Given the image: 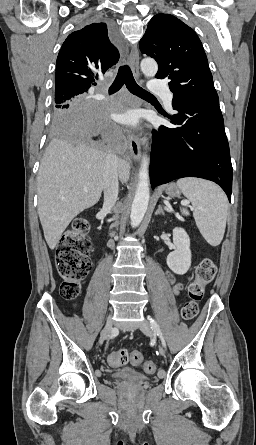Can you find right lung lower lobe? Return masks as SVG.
Returning <instances> with one entry per match:
<instances>
[{
  "label": "right lung lower lobe",
  "mask_w": 256,
  "mask_h": 445,
  "mask_svg": "<svg viewBox=\"0 0 256 445\" xmlns=\"http://www.w3.org/2000/svg\"><path fill=\"white\" fill-rule=\"evenodd\" d=\"M110 106L91 99L82 101L67 116L72 139L94 143L110 153L123 155L126 143L109 117Z\"/></svg>",
  "instance_id": "1"
}]
</instances>
